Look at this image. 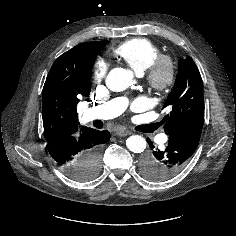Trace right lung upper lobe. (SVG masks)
<instances>
[{"mask_svg": "<svg viewBox=\"0 0 236 236\" xmlns=\"http://www.w3.org/2000/svg\"><path fill=\"white\" fill-rule=\"evenodd\" d=\"M108 41L85 42L62 54L52 65L43 87L42 118L46 142L80 136L77 104L90 94L91 70Z\"/></svg>", "mask_w": 236, "mask_h": 236, "instance_id": "cb5924a9", "label": "right lung upper lobe"}]
</instances>
